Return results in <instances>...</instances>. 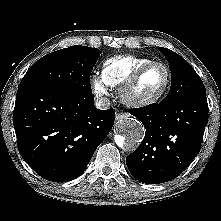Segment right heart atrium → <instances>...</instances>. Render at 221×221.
Segmentation results:
<instances>
[{"mask_svg": "<svg viewBox=\"0 0 221 221\" xmlns=\"http://www.w3.org/2000/svg\"><path fill=\"white\" fill-rule=\"evenodd\" d=\"M91 84H92L93 92L98 98H103L105 95H107L108 92H107L106 84L103 81L102 77H99L96 75L93 76L91 79Z\"/></svg>", "mask_w": 221, "mask_h": 221, "instance_id": "obj_1", "label": "right heart atrium"}]
</instances>
